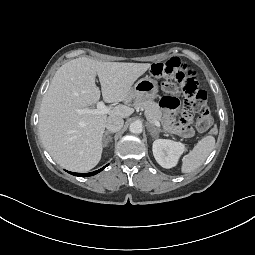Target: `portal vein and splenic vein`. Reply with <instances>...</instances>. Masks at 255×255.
I'll use <instances>...</instances> for the list:
<instances>
[{
  "instance_id": "portal-vein-and-splenic-vein-1",
  "label": "portal vein and splenic vein",
  "mask_w": 255,
  "mask_h": 255,
  "mask_svg": "<svg viewBox=\"0 0 255 255\" xmlns=\"http://www.w3.org/2000/svg\"><path fill=\"white\" fill-rule=\"evenodd\" d=\"M110 112V108H108L103 101H99L97 103V109H78L77 113L84 114V113H91V114H108ZM153 124L156 127H160L159 121H154Z\"/></svg>"
}]
</instances>
